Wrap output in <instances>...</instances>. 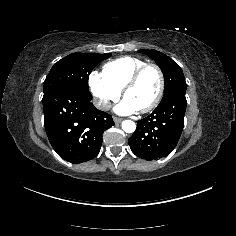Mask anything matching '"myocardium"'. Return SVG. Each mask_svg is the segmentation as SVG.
<instances>
[{
  "label": "myocardium",
  "instance_id": "f54148a6",
  "mask_svg": "<svg viewBox=\"0 0 236 236\" xmlns=\"http://www.w3.org/2000/svg\"><path fill=\"white\" fill-rule=\"evenodd\" d=\"M150 68L154 69L158 74V78H159L158 90L153 101L149 105L144 107L143 109L138 110L140 113L150 112L151 110L156 108L158 104L160 103L164 94V90H165V76L162 69L157 64L145 63L132 73V75L128 78V80L126 81L122 89V95L125 98L127 91L136 84V82L139 80L143 72Z\"/></svg>",
  "mask_w": 236,
  "mask_h": 236
}]
</instances>
